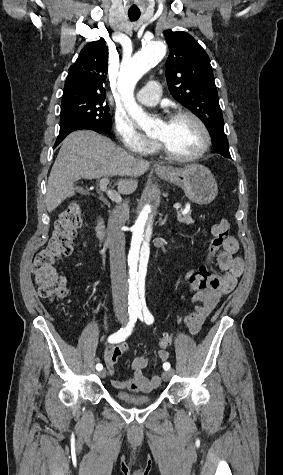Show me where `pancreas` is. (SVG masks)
I'll return each instance as SVG.
<instances>
[{"label":"pancreas","instance_id":"1","mask_svg":"<svg viewBox=\"0 0 283 475\" xmlns=\"http://www.w3.org/2000/svg\"><path fill=\"white\" fill-rule=\"evenodd\" d=\"M191 212H188V214H183V208L181 210H177V220L178 222H182V224H187V226H190V224H194V220L191 218Z\"/></svg>","mask_w":283,"mask_h":475}]
</instances>
